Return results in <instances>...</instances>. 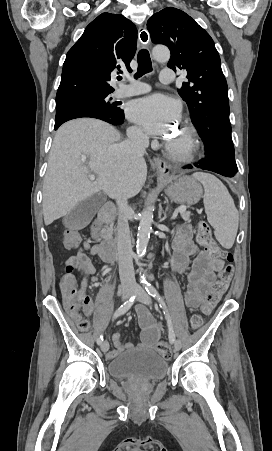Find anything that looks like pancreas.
<instances>
[{
	"instance_id": "pancreas-1",
	"label": "pancreas",
	"mask_w": 272,
	"mask_h": 451,
	"mask_svg": "<svg viewBox=\"0 0 272 451\" xmlns=\"http://www.w3.org/2000/svg\"><path fill=\"white\" fill-rule=\"evenodd\" d=\"M190 216H191V212H181V218H183V220H185V222H188ZM108 231H109V237H114V235L116 233V229H114V227H108Z\"/></svg>"
}]
</instances>
